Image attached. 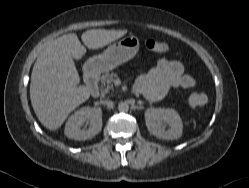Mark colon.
I'll return each instance as SVG.
<instances>
[{
    "instance_id": "colon-1",
    "label": "colon",
    "mask_w": 249,
    "mask_h": 188,
    "mask_svg": "<svg viewBox=\"0 0 249 188\" xmlns=\"http://www.w3.org/2000/svg\"><path fill=\"white\" fill-rule=\"evenodd\" d=\"M146 48L152 52L162 53L167 51L168 45L164 41L148 39L145 43ZM208 98L202 93L192 92L189 95V103L193 107H202L206 105Z\"/></svg>"
}]
</instances>
